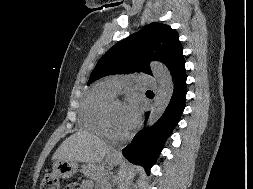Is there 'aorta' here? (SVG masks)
I'll use <instances>...</instances> for the list:
<instances>
[{"label":"aorta","mask_w":253,"mask_h":189,"mask_svg":"<svg viewBox=\"0 0 253 189\" xmlns=\"http://www.w3.org/2000/svg\"><path fill=\"white\" fill-rule=\"evenodd\" d=\"M151 70L158 82V92L149 115L148 126H152L163 115L170 103L174 90L172 75L162 63L152 62Z\"/></svg>","instance_id":"aorta-1"}]
</instances>
